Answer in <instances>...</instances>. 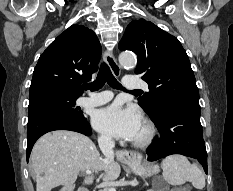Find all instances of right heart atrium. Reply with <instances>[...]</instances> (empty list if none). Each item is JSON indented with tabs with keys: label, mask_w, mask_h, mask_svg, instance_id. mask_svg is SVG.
I'll use <instances>...</instances> for the list:
<instances>
[{
	"label": "right heart atrium",
	"mask_w": 233,
	"mask_h": 191,
	"mask_svg": "<svg viewBox=\"0 0 233 191\" xmlns=\"http://www.w3.org/2000/svg\"><path fill=\"white\" fill-rule=\"evenodd\" d=\"M99 144L103 147H107L111 145V139L106 135L99 136Z\"/></svg>",
	"instance_id": "1"
}]
</instances>
